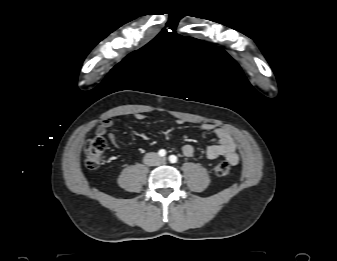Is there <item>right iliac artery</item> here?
Returning <instances> with one entry per match:
<instances>
[{
  "instance_id": "right-iliac-artery-1",
  "label": "right iliac artery",
  "mask_w": 337,
  "mask_h": 261,
  "mask_svg": "<svg viewBox=\"0 0 337 261\" xmlns=\"http://www.w3.org/2000/svg\"><path fill=\"white\" fill-rule=\"evenodd\" d=\"M159 156L164 157L166 155V151L164 149L159 150Z\"/></svg>"
}]
</instances>
